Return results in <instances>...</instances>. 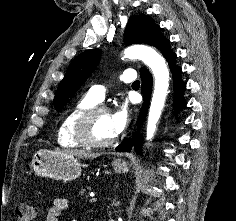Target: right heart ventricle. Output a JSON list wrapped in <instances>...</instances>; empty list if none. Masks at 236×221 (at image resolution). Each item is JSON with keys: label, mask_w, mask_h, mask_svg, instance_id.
I'll return each instance as SVG.
<instances>
[{"label": "right heart ventricle", "mask_w": 236, "mask_h": 221, "mask_svg": "<svg viewBox=\"0 0 236 221\" xmlns=\"http://www.w3.org/2000/svg\"><path fill=\"white\" fill-rule=\"evenodd\" d=\"M98 103L91 99L88 94L81 97L63 116L58 130L57 143L65 149L82 148L84 145L79 143L74 135L76 123L79 118L89 109Z\"/></svg>", "instance_id": "right-heart-ventricle-1"}]
</instances>
